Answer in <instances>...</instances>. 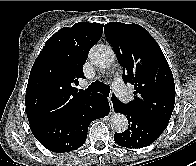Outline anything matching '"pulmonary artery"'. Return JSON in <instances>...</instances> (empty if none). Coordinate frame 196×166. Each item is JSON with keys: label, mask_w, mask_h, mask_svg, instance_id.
I'll list each match as a JSON object with an SVG mask.
<instances>
[{"label": "pulmonary artery", "mask_w": 196, "mask_h": 166, "mask_svg": "<svg viewBox=\"0 0 196 166\" xmlns=\"http://www.w3.org/2000/svg\"><path fill=\"white\" fill-rule=\"evenodd\" d=\"M113 89L117 92L118 96L122 100H127L128 99L127 90H126L125 86L121 82L115 81L113 83Z\"/></svg>", "instance_id": "1"}]
</instances>
